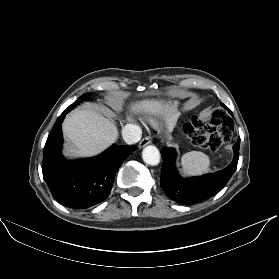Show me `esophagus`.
<instances>
[{"label":"esophagus","mask_w":279,"mask_h":279,"mask_svg":"<svg viewBox=\"0 0 279 279\" xmlns=\"http://www.w3.org/2000/svg\"><path fill=\"white\" fill-rule=\"evenodd\" d=\"M150 143H151V139H150L149 136H147V137L143 138V139L140 141L139 147H140V148H143L144 146H146V145H148V144H150Z\"/></svg>","instance_id":"esophagus-1"}]
</instances>
